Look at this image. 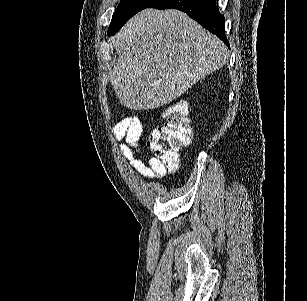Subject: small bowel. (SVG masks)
I'll list each match as a JSON object with an SVG mask.
<instances>
[{
	"label": "small bowel",
	"instance_id": "c3829d8e",
	"mask_svg": "<svg viewBox=\"0 0 307 301\" xmlns=\"http://www.w3.org/2000/svg\"><path fill=\"white\" fill-rule=\"evenodd\" d=\"M143 134V125L138 118H126L118 122L113 128L116 140L121 141L120 149L130 165L143 177L148 179L160 178L165 175L166 169L155 157L148 162L140 159L143 148L140 139Z\"/></svg>",
	"mask_w": 307,
	"mask_h": 301
}]
</instances>
